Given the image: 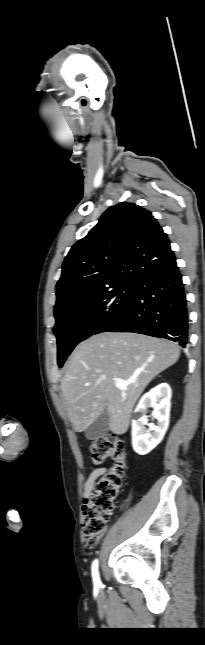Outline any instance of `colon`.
I'll use <instances>...</instances> for the list:
<instances>
[{
  "mask_svg": "<svg viewBox=\"0 0 205 645\" xmlns=\"http://www.w3.org/2000/svg\"><path fill=\"white\" fill-rule=\"evenodd\" d=\"M90 454L95 464H102L108 458L114 460V465L95 484L82 507L84 540L86 546L92 549L105 532L114 512L115 500L121 489L126 469V451L120 440L102 437L92 442Z\"/></svg>",
  "mask_w": 205,
  "mask_h": 645,
  "instance_id": "obj_1",
  "label": "colon"
}]
</instances>
